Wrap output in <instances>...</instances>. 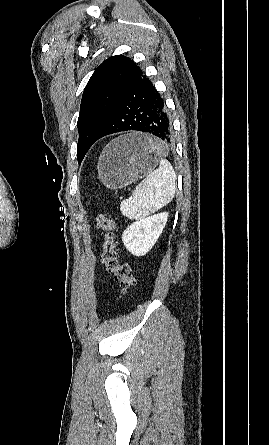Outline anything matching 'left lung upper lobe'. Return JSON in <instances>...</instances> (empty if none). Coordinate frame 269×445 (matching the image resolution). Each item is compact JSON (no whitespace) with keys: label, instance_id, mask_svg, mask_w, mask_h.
I'll list each match as a JSON object with an SVG mask.
<instances>
[{"label":"left lung upper lobe","instance_id":"5c2ea615","mask_svg":"<svg viewBox=\"0 0 269 445\" xmlns=\"http://www.w3.org/2000/svg\"><path fill=\"white\" fill-rule=\"evenodd\" d=\"M136 68L130 58L115 55L95 69L83 92L77 123L79 163L110 118Z\"/></svg>","mask_w":269,"mask_h":445}]
</instances>
